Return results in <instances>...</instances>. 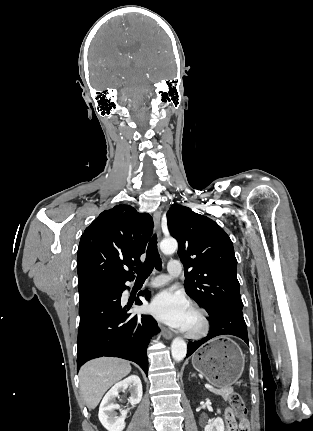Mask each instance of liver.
<instances>
[{"instance_id": "1", "label": "liver", "mask_w": 313, "mask_h": 431, "mask_svg": "<svg viewBox=\"0 0 313 431\" xmlns=\"http://www.w3.org/2000/svg\"><path fill=\"white\" fill-rule=\"evenodd\" d=\"M130 372V363L118 358H98L84 364L79 378L87 407L96 408L105 392Z\"/></svg>"}]
</instances>
